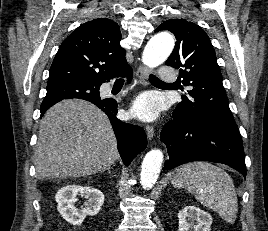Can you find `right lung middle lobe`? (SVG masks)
I'll use <instances>...</instances> for the list:
<instances>
[{
	"instance_id": "obj_1",
	"label": "right lung middle lobe",
	"mask_w": 268,
	"mask_h": 231,
	"mask_svg": "<svg viewBox=\"0 0 268 231\" xmlns=\"http://www.w3.org/2000/svg\"><path fill=\"white\" fill-rule=\"evenodd\" d=\"M99 86L77 82V81H61L47 84V94L45 101H61L69 98L90 99L100 97Z\"/></svg>"
}]
</instances>
